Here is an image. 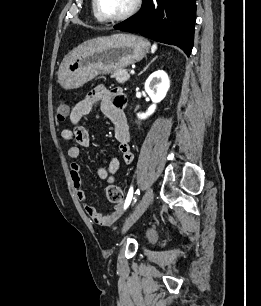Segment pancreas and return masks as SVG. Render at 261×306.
Wrapping results in <instances>:
<instances>
[{
  "label": "pancreas",
  "mask_w": 261,
  "mask_h": 306,
  "mask_svg": "<svg viewBox=\"0 0 261 306\" xmlns=\"http://www.w3.org/2000/svg\"><path fill=\"white\" fill-rule=\"evenodd\" d=\"M111 78H115L118 83L124 84L126 81L129 80L130 75L128 74L127 70L122 69L113 72Z\"/></svg>",
  "instance_id": "cf45deb5"
}]
</instances>
